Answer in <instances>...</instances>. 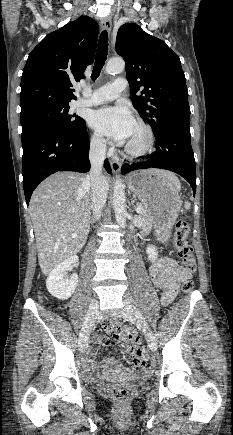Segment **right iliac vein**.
<instances>
[{
	"instance_id": "1",
	"label": "right iliac vein",
	"mask_w": 233,
	"mask_h": 435,
	"mask_svg": "<svg viewBox=\"0 0 233 435\" xmlns=\"http://www.w3.org/2000/svg\"><path fill=\"white\" fill-rule=\"evenodd\" d=\"M99 308V302L97 300H93L90 303V306L88 308L87 317H86V325L82 328V331L80 333V337L78 340L79 348L81 352H85L88 347V338L89 333L92 329L93 323L96 319L97 313Z\"/></svg>"
}]
</instances>
